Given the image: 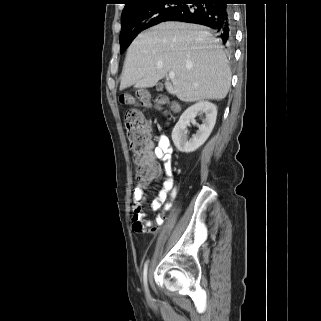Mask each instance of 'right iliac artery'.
Wrapping results in <instances>:
<instances>
[{"mask_svg": "<svg viewBox=\"0 0 321 321\" xmlns=\"http://www.w3.org/2000/svg\"><path fill=\"white\" fill-rule=\"evenodd\" d=\"M147 271H148V261H146V263L144 264V270H143V282H144V286H145L146 292L148 293Z\"/></svg>", "mask_w": 321, "mask_h": 321, "instance_id": "1", "label": "right iliac artery"}]
</instances>
